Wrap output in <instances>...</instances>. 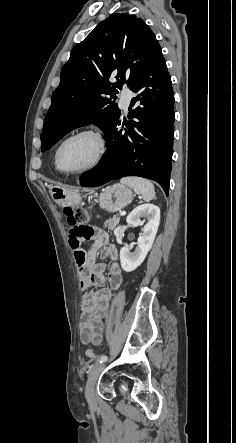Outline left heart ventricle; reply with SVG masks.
<instances>
[{
    "instance_id": "left-heart-ventricle-1",
    "label": "left heart ventricle",
    "mask_w": 236,
    "mask_h": 443,
    "mask_svg": "<svg viewBox=\"0 0 236 443\" xmlns=\"http://www.w3.org/2000/svg\"><path fill=\"white\" fill-rule=\"evenodd\" d=\"M98 145L89 135L71 139L60 152V166L67 171L78 170L90 165L96 158Z\"/></svg>"
}]
</instances>
